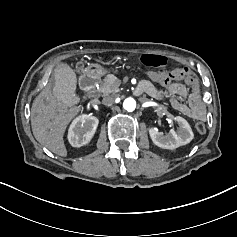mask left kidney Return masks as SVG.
Here are the masks:
<instances>
[{"mask_svg":"<svg viewBox=\"0 0 237 237\" xmlns=\"http://www.w3.org/2000/svg\"><path fill=\"white\" fill-rule=\"evenodd\" d=\"M178 129H170L165 136L163 132H159L154 126L149 127V135L152 142L163 149H175L177 147L188 144L194 137L189 123L182 117L176 116Z\"/></svg>","mask_w":237,"mask_h":237,"instance_id":"5707ae66","label":"left kidney"}]
</instances>
